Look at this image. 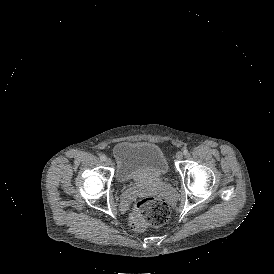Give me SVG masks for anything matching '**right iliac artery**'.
I'll use <instances>...</instances> for the list:
<instances>
[{
  "instance_id": "1",
  "label": "right iliac artery",
  "mask_w": 274,
  "mask_h": 274,
  "mask_svg": "<svg viewBox=\"0 0 274 274\" xmlns=\"http://www.w3.org/2000/svg\"><path fill=\"white\" fill-rule=\"evenodd\" d=\"M100 159H101L102 161H105V160H106V156L101 155V156H100Z\"/></svg>"
}]
</instances>
